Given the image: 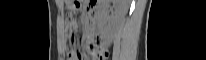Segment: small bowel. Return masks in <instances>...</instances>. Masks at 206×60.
Segmentation results:
<instances>
[{"label": "small bowel", "instance_id": "c3829d8e", "mask_svg": "<svg viewBox=\"0 0 206 60\" xmlns=\"http://www.w3.org/2000/svg\"><path fill=\"white\" fill-rule=\"evenodd\" d=\"M88 49H89V53L91 56L94 57V59H96V55H97V52H98V48L95 46V44L93 43V41H90L89 42V46H88ZM82 58H74V59H71V60H81ZM87 59V58H85Z\"/></svg>", "mask_w": 206, "mask_h": 60}]
</instances>
